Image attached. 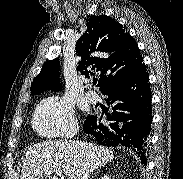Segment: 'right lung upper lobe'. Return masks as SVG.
<instances>
[{
  "mask_svg": "<svg viewBox=\"0 0 183 179\" xmlns=\"http://www.w3.org/2000/svg\"><path fill=\"white\" fill-rule=\"evenodd\" d=\"M76 53L80 57L77 71L82 75L89 78L93 72H101L98 82L101 91L143 64L134 38L116 20L105 15L88 19L86 31L76 42ZM59 67L58 58L47 61L31 84V93L60 91Z\"/></svg>",
  "mask_w": 183,
  "mask_h": 179,
  "instance_id": "right-lung-upper-lobe-1",
  "label": "right lung upper lobe"
}]
</instances>
